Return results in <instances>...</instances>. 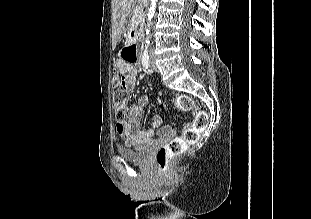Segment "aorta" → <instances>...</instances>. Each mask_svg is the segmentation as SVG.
Wrapping results in <instances>:
<instances>
[{"mask_svg":"<svg viewBox=\"0 0 311 219\" xmlns=\"http://www.w3.org/2000/svg\"><path fill=\"white\" fill-rule=\"evenodd\" d=\"M158 0H151L150 6L148 8L147 12V28H146V38H145V45L149 46L150 45V39H151V26H152V19L155 16L156 12V6H157Z\"/></svg>","mask_w":311,"mask_h":219,"instance_id":"aorta-1","label":"aorta"}]
</instances>
